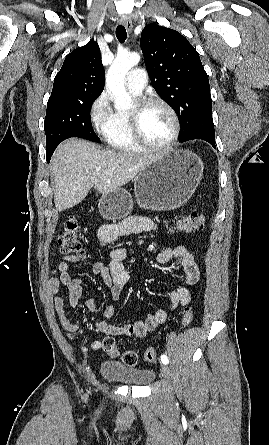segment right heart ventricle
I'll return each instance as SVG.
<instances>
[{"instance_id":"right-heart-ventricle-1","label":"right heart ventricle","mask_w":269,"mask_h":445,"mask_svg":"<svg viewBox=\"0 0 269 445\" xmlns=\"http://www.w3.org/2000/svg\"><path fill=\"white\" fill-rule=\"evenodd\" d=\"M104 140L115 150L128 153H138L142 148L135 142L131 127L129 112L118 110L112 113L108 122L101 129Z\"/></svg>"}]
</instances>
